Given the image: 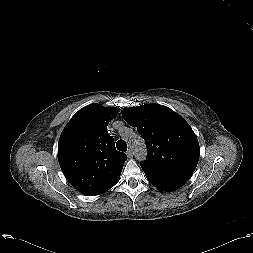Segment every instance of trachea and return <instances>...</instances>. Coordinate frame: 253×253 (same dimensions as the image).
<instances>
[{
    "label": "trachea",
    "mask_w": 253,
    "mask_h": 253,
    "mask_svg": "<svg viewBox=\"0 0 253 253\" xmlns=\"http://www.w3.org/2000/svg\"><path fill=\"white\" fill-rule=\"evenodd\" d=\"M116 147L121 152L127 151V143L124 140H118L116 143Z\"/></svg>",
    "instance_id": "trachea-1"
}]
</instances>
